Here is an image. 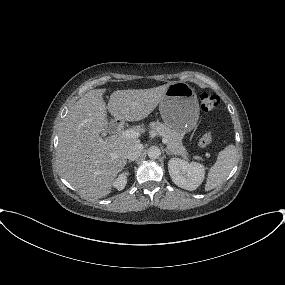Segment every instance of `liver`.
I'll return each instance as SVG.
<instances>
[{"mask_svg": "<svg viewBox=\"0 0 285 285\" xmlns=\"http://www.w3.org/2000/svg\"><path fill=\"white\" fill-rule=\"evenodd\" d=\"M171 83L150 89L117 90L108 104L106 89H94L82 96L69 110L59 136L58 163L63 177L82 195L107 196L115 177L127 162V152L138 139L99 134L107 125L106 111L122 121H140L162 101Z\"/></svg>", "mask_w": 285, "mask_h": 285, "instance_id": "6515ba94", "label": "liver"}]
</instances>
